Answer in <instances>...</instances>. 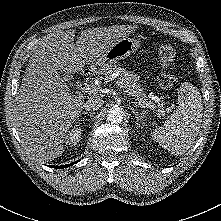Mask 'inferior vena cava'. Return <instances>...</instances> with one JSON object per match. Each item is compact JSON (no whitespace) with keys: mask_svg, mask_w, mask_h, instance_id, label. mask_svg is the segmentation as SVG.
I'll use <instances>...</instances> for the list:
<instances>
[{"mask_svg":"<svg viewBox=\"0 0 221 221\" xmlns=\"http://www.w3.org/2000/svg\"><path fill=\"white\" fill-rule=\"evenodd\" d=\"M104 104V101L101 99L97 98H90L89 100L86 101L84 104V108L86 111H95L101 108Z\"/></svg>","mask_w":221,"mask_h":221,"instance_id":"602c4592","label":"inferior vena cava"}]
</instances>
